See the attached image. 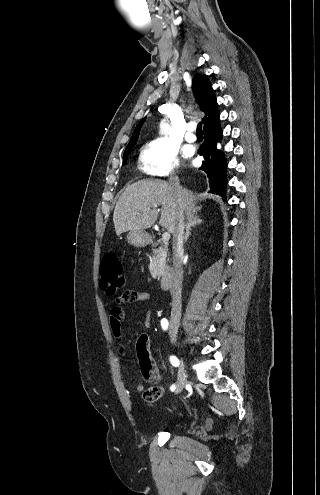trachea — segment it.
Listing matches in <instances>:
<instances>
[{
  "instance_id": "trachea-1",
  "label": "trachea",
  "mask_w": 320,
  "mask_h": 495,
  "mask_svg": "<svg viewBox=\"0 0 320 495\" xmlns=\"http://www.w3.org/2000/svg\"><path fill=\"white\" fill-rule=\"evenodd\" d=\"M197 135H202V123L199 122L196 130Z\"/></svg>"
}]
</instances>
